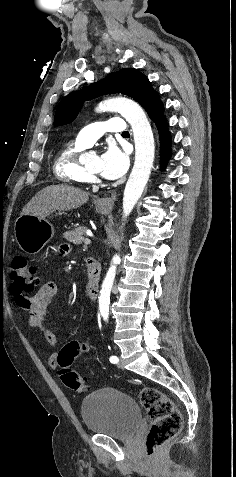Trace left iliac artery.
<instances>
[{
	"instance_id": "44dca946",
	"label": "left iliac artery",
	"mask_w": 236,
	"mask_h": 477,
	"mask_svg": "<svg viewBox=\"0 0 236 477\" xmlns=\"http://www.w3.org/2000/svg\"><path fill=\"white\" fill-rule=\"evenodd\" d=\"M109 360L113 364H116L119 361L118 357H116V356H111Z\"/></svg>"
}]
</instances>
